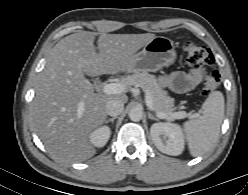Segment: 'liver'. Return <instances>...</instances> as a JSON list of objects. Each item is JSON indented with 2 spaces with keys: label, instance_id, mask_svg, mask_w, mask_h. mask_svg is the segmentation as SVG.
Instances as JSON below:
<instances>
[{
  "label": "liver",
  "instance_id": "1",
  "mask_svg": "<svg viewBox=\"0 0 248 195\" xmlns=\"http://www.w3.org/2000/svg\"><path fill=\"white\" fill-rule=\"evenodd\" d=\"M155 34L95 33L79 31L61 39L50 51L32 103L34 129L54 159L80 162L96 150L89 141L93 130L106 121V104L126 95L95 93L85 77L116 74L131 64L136 52ZM83 105L82 112H79Z\"/></svg>",
  "mask_w": 248,
  "mask_h": 195
}]
</instances>
